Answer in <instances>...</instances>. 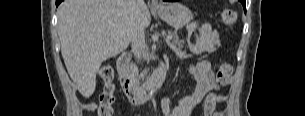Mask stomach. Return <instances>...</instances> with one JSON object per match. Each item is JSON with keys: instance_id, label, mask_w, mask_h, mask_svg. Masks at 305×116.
Masks as SVG:
<instances>
[{"instance_id": "0dacf381", "label": "stomach", "mask_w": 305, "mask_h": 116, "mask_svg": "<svg viewBox=\"0 0 305 116\" xmlns=\"http://www.w3.org/2000/svg\"><path fill=\"white\" fill-rule=\"evenodd\" d=\"M156 13L170 26L179 29L192 20V12L181 3H167L156 10Z\"/></svg>"}]
</instances>
